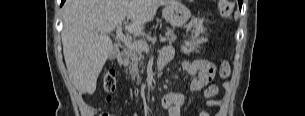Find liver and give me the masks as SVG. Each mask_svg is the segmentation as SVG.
Returning <instances> with one entry per match:
<instances>
[{
  "instance_id": "6515ba94",
  "label": "liver",
  "mask_w": 305,
  "mask_h": 116,
  "mask_svg": "<svg viewBox=\"0 0 305 116\" xmlns=\"http://www.w3.org/2000/svg\"><path fill=\"white\" fill-rule=\"evenodd\" d=\"M173 0H66L61 33L63 54L70 78L88 94L112 53L108 33L125 22V30L139 34L159 6Z\"/></svg>"
}]
</instances>
